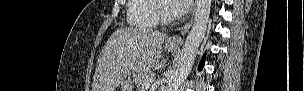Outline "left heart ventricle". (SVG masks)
<instances>
[{"mask_svg":"<svg viewBox=\"0 0 304 91\" xmlns=\"http://www.w3.org/2000/svg\"><path fill=\"white\" fill-rule=\"evenodd\" d=\"M168 9H169V12H170L171 14H174L173 7H172V4H171V3L168 5Z\"/></svg>","mask_w":304,"mask_h":91,"instance_id":"obj_1","label":"left heart ventricle"}]
</instances>
